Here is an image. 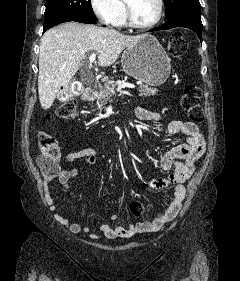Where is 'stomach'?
<instances>
[{"instance_id": "1", "label": "stomach", "mask_w": 240, "mask_h": 281, "mask_svg": "<svg viewBox=\"0 0 240 281\" xmlns=\"http://www.w3.org/2000/svg\"><path fill=\"white\" fill-rule=\"evenodd\" d=\"M123 70L130 76L152 86L163 84L171 71L170 59L152 35L127 47L122 56Z\"/></svg>"}]
</instances>
